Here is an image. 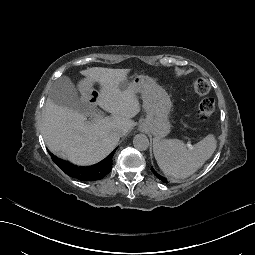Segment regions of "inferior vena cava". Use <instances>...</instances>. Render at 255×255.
Masks as SVG:
<instances>
[{
  "instance_id": "1",
  "label": "inferior vena cava",
  "mask_w": 255,
  "mask_h": 255,
  "mask_svg": "<svg viewBox=\"0 0 255 255\" xmlns=\"http://www.w3.org/2000/svg\"><path fill=\"white\" fill-rule=\"evenodd\" d=\"M130 129V126L128 123L124 122L122 124H119L117 125L115 128H114V131L118 134V136H124L128 130Z\"/></svg>"
}]
</instances>
